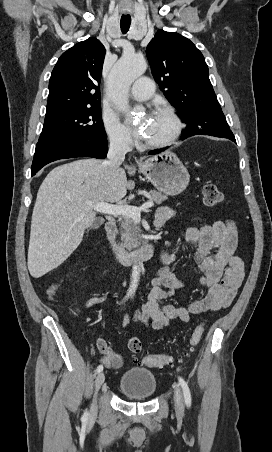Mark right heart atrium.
Segmentation results:
<instances>
[{
    "label": "right heart atrium",
    "instance_id": "1",
    "mask_svg": "<svg viewBox=\"0 0 272 452\" xmlns=\"http://www.w3.org/2000/svg\"><path fill=\"white\" fill-rule=\"evenodd\" d=\"M102 124L111 144L124 149L132 146L133 139L129 130L117 117L110 114H104L102 116Z\"/></svg>",
    "mask_w": 272,
    "mask_h": 452
}]
</instances>
